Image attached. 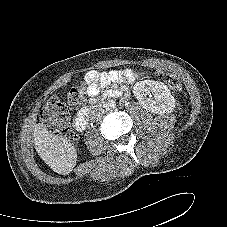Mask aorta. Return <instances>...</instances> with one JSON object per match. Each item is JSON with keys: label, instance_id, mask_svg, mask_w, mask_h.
Returning <instances> with one entry per match:
<instances>
[{"label": "aorta", "instance_id": "obj_1", "mask_svg": "<svg viewBox=\"0 0 227 227\" xmlns=\"http://www.w3.org/2000/svg\"><path fill=\"white\" fill-rule=\"evenodd\" d=\"M103 106L106 110H113L116 108V102L112 99H107L104 102Z\"/></svg>", "mask_w": 227, "mask_h": 227}]
</instances>
